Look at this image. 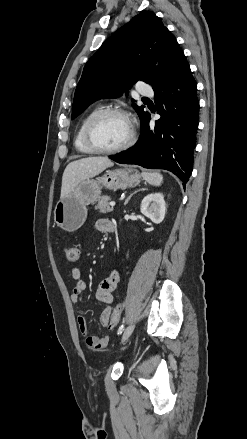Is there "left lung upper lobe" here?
I'll list each match as a JSON object with an SVG mask.
<instances>
[{"label": "left lung upper lobe", "instance_id": "left-lung-upper-lobe-1", "mask_svg": "<svg viewBox=\"0 0 247 439\" xmlns=\"http://www.w3.org/2000/svg\"><path fill=\"white\" fill-rule=\"evenodd\" d=\"M185 58L174 35L154 12L138 14L86 63L75 91L71 118L96 100L119 97L138 80L157 89ZM133 106L140 120L148 114L144 106Z\"/></svg>", "mask_w": 247, "mask_h": 439}]
</instances>
